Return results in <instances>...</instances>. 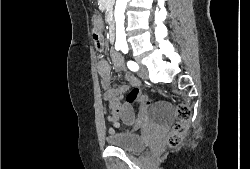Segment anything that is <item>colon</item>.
Masks as SVG:
<instances>
[{
    "mask_svg": "<svg viewBox=\"0 0 250 169\" xmlns=\"http://www.w3.org/2000/svg\"><path fill=\"white\" fill-rule=\"evenodd\" d=\"M93 40V51L103 52V38L97 24L93 25ZM125 100L140 101L139 111L137 113L138 116L135 122V129H141L144 126L145 119L148 114L147 111L151 100L149 95H142L140 89H133L132 91L127 92ZM186 104H188V99H183V102L175 103V106L177 107L175 115H178V120H180V122H176V126H172L171 133L167 135L166 143H168L169 147H176L180 143H183V139L186 138L184 131H189L190 127H193V122H191V110L186 107ZM109 106L110 108H113L112 122L114 123V120H119L121 115L120 109L122 106L120 103H110Z\"/></svg>",
    "mask_w": 250,
    "mask_h": 169,
    "instance_id": "colon-1",
    "label": "colon"
}]
</instances>
